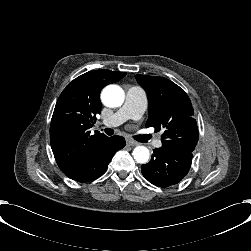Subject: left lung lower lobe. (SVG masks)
Segmentation results:
<instances>
[{
    "instance_id": "obj_1",
    "label": "left lung lower lobe",
    "mask_w": 251,
    "mask_h": 251,
    "mask_svg": "<svg viewBox=\"0 0 251 251\" xmlns=\"http://www.w3.org/2000/svg\"><path fill=\"white\" fill-rule=\"evenodd\" d=\"M193 154L160 147L154 150L149 163L142 165L143 176L158 187L179 183L189 172Z\"/></svg>"
}]
</instances>
